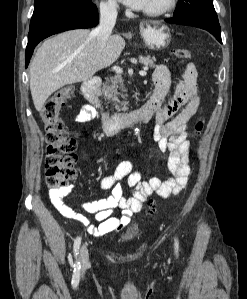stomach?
<instances>
[{
	"mask_svg": "<svg viewBox=\"0 0 247 299\" xmlns=\"http://www.w3.org/2000/svg\"><path fill=\"white\" fill-rule=\"evenodd\" d=\"M140 33L145 45L152 50L165 49L171 42L170 29L160 22L142 23Z\"/></svg>",
	"mask_w": 247,
	"mask_h": 299,
	"instance_id": "0dacf381",
	"label": "stomach"
}]
</instances>
